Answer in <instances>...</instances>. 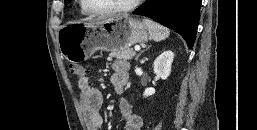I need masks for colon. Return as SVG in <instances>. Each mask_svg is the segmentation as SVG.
<instances>
[{"instance_id": "obj_1", "label": "colon", "mask_w": 257, "mask_h": 130, "mask_svg": "<svg viewBox=\"0 0 257 130\" xmlns=\"http://www.w3.org/2000/svg\"><path fill=\"white\" fill-rule=\"evenodd\" d=\"M69 70L74 76H76L79 79L86 76V69L79 64L70 63L69 64Z\"/></svg>"}]
</instances>
